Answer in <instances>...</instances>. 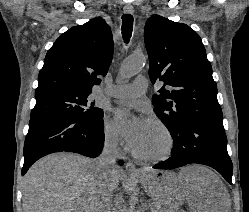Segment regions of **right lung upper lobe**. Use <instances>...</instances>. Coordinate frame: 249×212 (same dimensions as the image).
<instances>
[{"mask_svg": "<svg viewBox=\"0 0 249 212\" xmlns=\"http://www.w3.org/2000/svg\"><path fill=\"white\" fill-rule=\"evenodd\" d=\"M110 27L101 17L63 33L46 54L35 95L54 91L92 92L113 57Z\"/></svg>", "mask_w": 249, "mask_h": 212, "instance_id": "cb5924a9", "label": "right lung upper lobe"}]
</instances>
